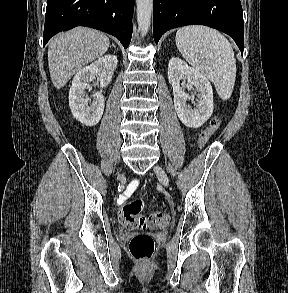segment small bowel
<instances>
[{"label":"small bowel","mask_w":288,"mask_h":293,"mask_svg":"<svg viewBox=\"0 0 288 293\" xmlns=\"http://www.w3.org/2000/svg\"><path fill=\"white\" fill-rule=\"evenodd\" d=\"M127 197H128L127 193H125L124 195L120 196L119 201H118L119 204L122 203L124 200H126Z\"/></svg>","instance_id":"c3829d8e"}]
</instances>
